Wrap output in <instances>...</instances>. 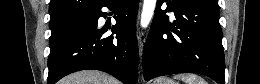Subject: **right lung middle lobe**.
Here are the masks:
<instances>
[{"instance_id":"1","label":"right lung middle lobe","mask_w":260,"mask_h":84,"mask_svg":"<svg viewBox=\"0 0 260 84\" xmlns=\"http://www.w3.org/2000/svg\"><path fill=\"white\" fill-rule=\"evenodd\" d=\"M90 14L80 17L78 19H75L69 23H66L64 25L50 28L52 31L51 37H50V47L54 46L57 42H59L66 34H68L71 30L75 29L76 27L83 25L89 21Z\"/></svg>"}]
</instances>
